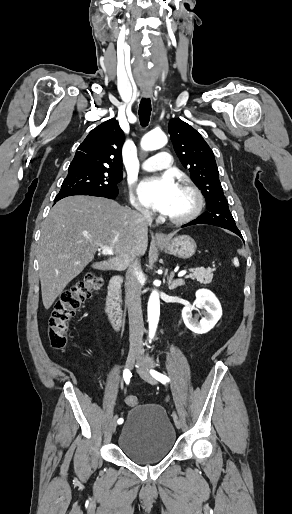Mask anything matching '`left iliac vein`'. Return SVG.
<instances>
[{
    "label": "left iliac vein",
    "instance_id": "4c4485c4",
    "mask_svg": "<svg viewBox=\"0 0 292 514\" xmlns=\"http://www.w3.org/2000/svg\"><path fill=\"white\" fill-rule=\"evenodd\" d=\"M137 372L138 374L141 376L142 379H144L146 382L152 384V385H155L157 383V381L155 380V378L150 374L148 368L142 364H140L138 367H137ZM174 422H175V426L180 429L181 428V422L179 420V418L174 415Z\"/></svg>",
    "mask_w": 292,
    "mask_h": 514
}]
</instances>
